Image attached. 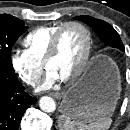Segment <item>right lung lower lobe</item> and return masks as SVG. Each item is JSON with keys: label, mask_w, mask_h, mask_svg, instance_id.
I'll return each instance as SVG.
<instances>
[{"label": "right lung lower lobe", "mask_w": 130, "mask_h": 130, "mask_svg": "<svg viewBox=\"0 0 130 130\" xmlns=\"http://www.w3.org/2000/svg\"><path fill=\"white\" fill-rule=\"evenodd\" d=\"M36 101L25 92L15 72L0 66V130H18L25 110Z\"/></svg>", "instance_id": "1"}]
</instances>
